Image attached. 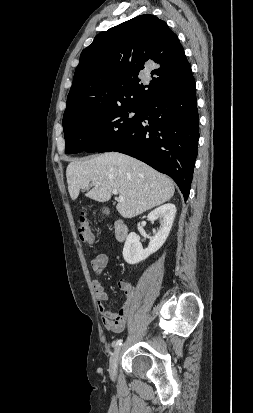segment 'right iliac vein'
<instances>
[{
  "label": "right iliac vein",
  "mask_w": 253,
  "mask_h": 413,
  "mask_svg": "<svg viewBox=\"0 0 253 413\" xmlns=\"http://www.w3.org/2000/svg\"><path fill=\"white\" fill-rule=\"evenodd\" d=\"M121 353V347H118L111 355L109 362V374L111 378H115L117 374L118 360Z\"/></svg>",
  "instance_id": "obj_1"
}]
</instances>
